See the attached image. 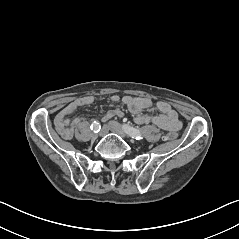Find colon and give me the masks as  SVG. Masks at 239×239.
<instances>
[{
	"mask_svg": "<svg viewBox=\"0 0 239 239\" xmlns=\"http://www.w3.org/2000/svg\"><path fill=\"white\" fill-rule=\"evenodd\" d=\"M176 137H177V133H176L175 131H171V132L167 133V134L163 137V139H164L165 141H171V140L176 139Z\"/></svg>",
	"mask_w": 239,
	"mask_h": 239,
	"instance_id": "1",
	"label": "colon"
}]
</instances>
